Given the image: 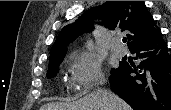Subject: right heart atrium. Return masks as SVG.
<instances>
[{
	"label": "right heart atrium",
	"instance_id": "right-heart-atrium-1",
	"mask_svg": "<svg viewBox=\"0 0 171 110\" xmlns=\"http://www.w3.org/2000/svg\"><path fill=\"white\" fill-rule=\"evenodd\" d=\"M71 81L76 88L89 91L104 82L101 63L91 54L74 53L72 56Z\"/></svg>",
	"mask_w": 171,
	"mask_h": 110
}]
</instances>
